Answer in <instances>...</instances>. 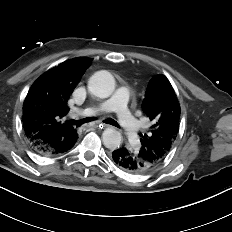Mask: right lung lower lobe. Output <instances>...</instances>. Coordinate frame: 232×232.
Masks as SVG:
<instances>
[{
    "mask_svg": "<svg viewBox=\"0 0 232 232\" xmlns=\"http://www.w3.org/2000/svg\"><path fill=\"white\" fill-rule=\"evenodd\" d=\"M76 141H77V139L74 140V141H72V142H70V144L67 145V147L64 148L63 150L60 149V148H61V145H60V144L56 145V146L53 147V148L45 149V150H42V151H36L35 149H34V150H35L37 153H39V154H41V155H45V156L57 155V154L65 153V152H67L68 150H70V149L75 145Z\"/></svg>",
    "mask_w": 232,
    "mask_h": 232,
    "instance_id": "98d812e1",
    "label": "right lung lower lobe"
}]
</instances>
